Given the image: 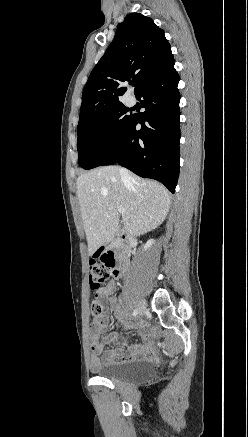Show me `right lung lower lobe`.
Segmentation results:
<instances>
[{
    "mask_svg": "<svg viewBox=\"0 0 248 437\" xmlns=\"http://www.w3.org/2000/svg\"><path fill=\"white\" fill-rule=\"evenodd\" d=\"M173 56L135 93L145 111L133 114L125 130L97 166L119 163L152 178L174 193L179 176V75ZM141 124L140 130L136 125Z\"/></svg>",
    "mask_w": 248,
    "mask_h": 437,
    "instance_id": "1",
    "label": "right lung lower lobe"
}]
</instances>
